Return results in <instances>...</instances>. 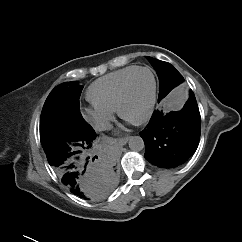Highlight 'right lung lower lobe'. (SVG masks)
Segmentation results:
<instances>
[{"label":"right lung lower lobe","instance_id":"obj_1","mask_svg":"<svg viewBox=\"0 0 242 242\" xmlns=\"http://www.w3.org/2000/svg\"><path fill=\"white\" fill-rule=\"evenodd\" d=\"M95 131L73 136L50 146L45 154L61 182L76 196L99 200L116 185L117 173L110 160L94 155Z\"/></svg>","mask_w":242,"mask_h":242}]
</instances>
